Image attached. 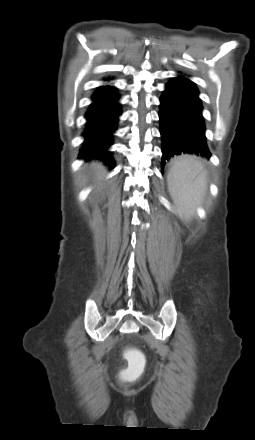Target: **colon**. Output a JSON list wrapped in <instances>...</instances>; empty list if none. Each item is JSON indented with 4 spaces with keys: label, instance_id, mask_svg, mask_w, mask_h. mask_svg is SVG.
Instances as JSON below:
<instances>
[{
    "label": "colon",
    "instance_id": "1",
    "mask_svg": "<svg viewBox=\"0 0 255 440\" xmlns=\"http://www.w3.org/2000/svg\"><path fill=\"white\" fill-rule=\"evenodd\" d=\"M124 357L130 363L129 368L124 373V378L127 380H133L142 371V355L139 350L135 348H128L124 353Z\"/></svg>",
    "mask_w": 255,
    "mask_h": 440
}]
</instances>
